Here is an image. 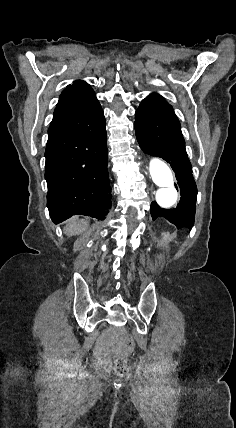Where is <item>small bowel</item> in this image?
Returning <instances> with one entry per match:
<instances>
[{"label":"small bowel","mask_w":236,"mask_h":428,"mask_svg":"<svg viewBox=\"0 0 236 428\" xmlns=\"http://www.w3.org/2000/svg\"><path fill=\"white\" fill-rule=\"evenodd\" d=\"M122 339L123 329L116 325L110 326L96 341L94 347L95 355L103 361H109L111 356L119 349Z\"/></svg>","instance_id":"obj_1"}]
</instances>
